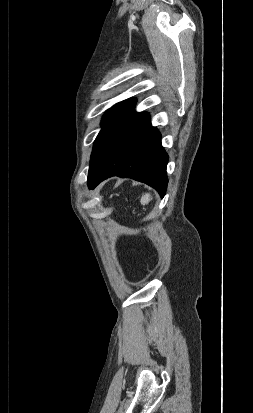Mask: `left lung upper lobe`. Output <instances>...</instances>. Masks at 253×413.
Listing matches in <instances>:
<instances>
[{"label":"left lung upper lobe","mask_w":253,"mask_h":413,"mask_svg":"<svg viewBox=\"0 0 253 413\" xmlns=\"http://www.w3.org/2000/svg\"><path fill=\"white\" fill-rule=\"evenodd\" d=\"M136 100L117 103L106 111L93 146L88 178L95 175L124 140L148 117L134 110Z\"/></svg>","instance_id":"obj_1"}]
</instances>
